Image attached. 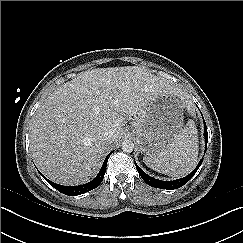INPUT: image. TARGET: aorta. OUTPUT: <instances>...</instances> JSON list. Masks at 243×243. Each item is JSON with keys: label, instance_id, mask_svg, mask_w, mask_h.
Instances as JSON below:
<instances>
[{"label": "aorta", "instance_id": "aorta-1", "mask_svg": "<svg viewBox=\"0 0 243 243\" xmlns=\"http://www.w3.org/2000/svg\"><path fill=\"white\" fill-rule=\"evenodd\" d=\"M133 149H134V143L131 140L127 139L122 142V150L124 152L130 153L133 151Z\"/></svg>", "mask_w": 243, "mask_h": 243}]
</instances>
